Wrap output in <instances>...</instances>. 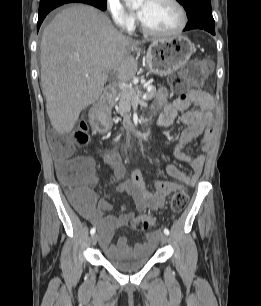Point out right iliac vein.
Returning <instances> with one entry per match:
<instances>
[{
	"mask_svg": "<svg viewBox=\"0 0 261 306\" xmlns=\"http://www.w3.org/2000/svg\"><path fill=\"white\" fill-rule=\"evenodd\" d=\"M90 240H91V244L95 245L97 243V240H98V235L97 234H93L91 236Z\"/></svg>",
	"mask_w": 261,
	"mask_h": 306,
	"instance_id": "63e3f726",
	"label": "right iliac vein"
}]
</instances>
